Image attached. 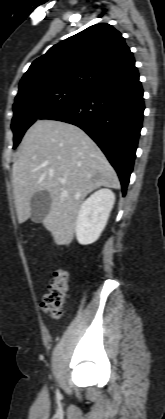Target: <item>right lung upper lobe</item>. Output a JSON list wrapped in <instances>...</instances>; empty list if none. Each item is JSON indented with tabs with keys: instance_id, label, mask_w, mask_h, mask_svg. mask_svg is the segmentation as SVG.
<instances>
[{
	"instance_id": "1",
	"label": "right lung upper lobe",
	"mask_w": 165,
	"mask_h": 419,
	"mask_svg": "<svg viewBox=\"0 0 165 419\" xmlns=\"http://www.w3.org/2000/svg\"><path fill=\"white\" fill-rule=\"evenodd\" d=\"M133 53L121 33L100 23L51 47L24 74L15 99L31 92L68 87L86 92L134 66Z\"/></svg>"
}]
</instances>
